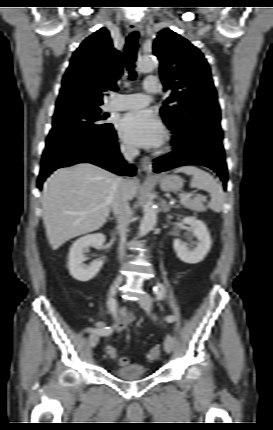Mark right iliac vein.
I'll return each instance as SVG.
<instances>
[{
	"label": "right iliac vein",
	"instance_id": "right-iliac-vein-1",
	"mask_svg": "<svg viewBox=\"0 0 273 430\" xmlns=\"http://www.w3.org/2000/svg\"><path fill=\"white\" fill-rule=\"evenodd\" d=\"M123 282V279L121 277H118L114 280L113 284L111 285L110 289H109V297L110 299L115 296V294L118 291V288L120 287L121 283ZM99 334L98 333H94L90 336L89 339V345L90 347L94 348L98 341H99Z\"/></svg>",
	"mask_w": 273,
	"mask_h": 430
}]
</instances>
